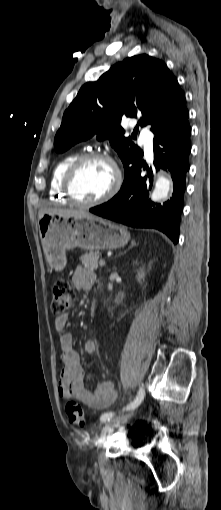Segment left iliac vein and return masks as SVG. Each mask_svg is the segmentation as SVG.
<instances>
[{
  "instance_id": "4c4485c4",
  "label": "left iliac vein",
  "mask_w": 221,
  "mask_h": 510,
  "mask_svg": "<svg viewBox=\"0 0 221 510\" xmlns=\"http://www.w3.org/2000/svg\"><path fill=\"white\" fill-rule=\"evenodd\" d=\"M143 390H144V388L142 386H140L138 392H141ZM131 417H132V413H127V414H123L121 416H117V417L113 418L112 420H109L103 427L102 439H106L107 437H109L112 434V432L114 431V429L118 428L122 424L127 423Z\"/></svg>"
}]
</instances>
